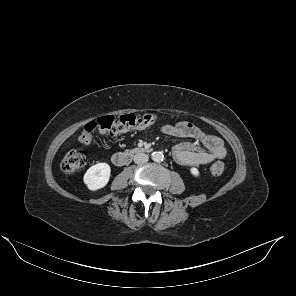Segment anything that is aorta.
<instances>
[{"mask_svg": "<svg viewBox=\"0 0 296 296\" xmlns=\"http://www.w3.org/2000/svg\"><path fill=\"white\" fill-rule=\"evenodd\" d=\"M151 158L155 162H161L164 159V155L161 152H153Z\"/></svg>", "mask_w": 296, "mask_h": 296, "instance_id": "obj_1", "label": "aorta"}]
</instances>
